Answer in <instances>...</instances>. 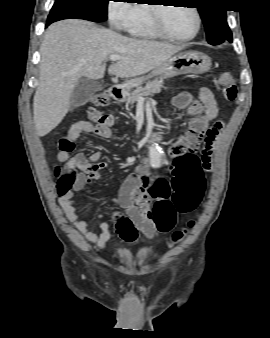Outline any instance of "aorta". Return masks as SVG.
Listing matches in <instances>:
<instances>
[{
	"label": "aorta",
	"instance_id": "aorta-1",
	"mask_svg": "<svg viewBox=\"0 0 270 338\" xmlns=\"http://www.w3.org/2000/svg\"><path fill=\"white\" fill-rule=\"evenodd\" d=\"M149 162L154 168L160 167L162 165V153L161 148L158 145H154L151 148Z\"/></svg>",
	"mask_w": 270,
	"mask_h": 338
}]
</instances>
